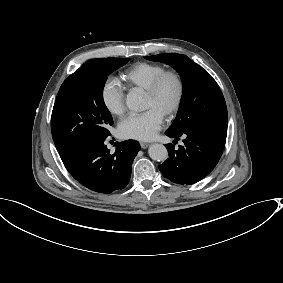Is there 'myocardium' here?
Segmentation results:
<instances>
[{"label":"myocardium","mask_w":283,"mask_h":283,"mask_svg":"<svg viewBox=\"0 0 283 283\" xmlns=\"http://www.w3.org/2000/svg\"><path fill=\"white\" fill-rule=\"evenodd\" d=\"M168 78L173 79L176 85V92L174 99L171 103V105L168 107V109L165 112V116L170 117L173 114H175L182 102L183 93H184V83L181 75L175 71V70H165L160 75H158L152 83L145 89V93L148 96H156L164 83V81Z\"/></svg>","instance_id":"obj_1"}]
</instances>
